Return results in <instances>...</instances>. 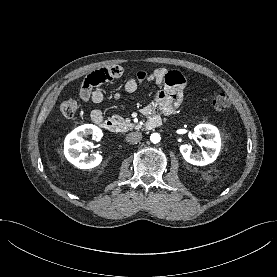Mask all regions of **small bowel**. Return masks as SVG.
Wrapping results in <instances>:
<instances>
[{
	"instance_id": "small-bowel-1",
	"label": "small bowel",
	"mask_w": 277,
	"mask_h": 277,
	"mask_svg": "<svg viewBox=\"0 0 277 277\" xmlns=\"http://www.w3.org/2000/svg\"><path fill=\"white\" fill-rule=\"evenodd\" d=\"M122 73V68L116 65L92 72L84 80L79 90V97L85 102L101 103L104 99V93L100 86L121 77ZM144 82H153L158 86L153 101L142 109L144 114L154 115L161 112L165 115H171L178 109L183 100L185 87V79L180 72L169 71L165 68H158L152 72L139 71L135 78L125 81L124 90L132 94ZM121 96L120 92L114 94L116 100H119ZM101 118H103V114L100 110L95 109L91 112L93 122L96 123Z\"/></svg>"
}]
</instances>
